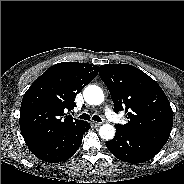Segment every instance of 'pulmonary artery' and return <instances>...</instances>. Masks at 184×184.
<instances>
[{
    "label": "pulmonary artery",
    "instance_id": "obj_1",
    "mask_svg": "<svg viewBox=\"0 0 184 184\" xmlns=\"http://www.w3.org/2000/svg\"><path fill=\"white\" fill-rule=\"evenodd\" d=\"M105 116L112 122L117 123L119 121V117L114 113L110 106H105L104 108Z\"/></svg>",
    "mask_w": 184,
    "mask_h": 184
}]
</instances>
